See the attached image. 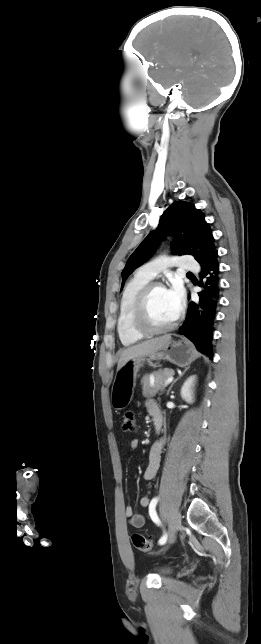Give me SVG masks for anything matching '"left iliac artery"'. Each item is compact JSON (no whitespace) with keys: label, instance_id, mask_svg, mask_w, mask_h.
I'll return each instance as SVG.
<instances>
[{"label":"left iliac artery","instance_id":"left-iliac-artery-1","mask_svg":"<svg viewBox=\"0 0 261 644\" xmlns=\"http://www.w3.org/2000/svg\"><path fill=\"white\" fill-rule=\"evenodd\" d=\"M157 502H158V497H154L151 500L150 505H149V515H150V517H151V519H152V521L154 523H156L157 525H161L160 519L158 518L156 510H155ZM166 541H167V533H164L163 536L159 539L158 543L160 545H163V544L166 543Z\"/></svg>","mask_w":261,"mask_h":644}]
</instances>
